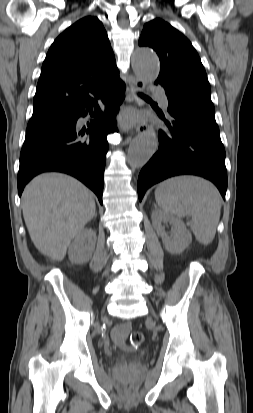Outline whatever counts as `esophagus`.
<instances>
[{
  "mask_svg": "<svg viewBox=\"0 0 253 413\" xmlns=\"http://www.w3.org/2000/svg\"><path fill=\"white\" fill-rule=\"evenodd\" d=\"M144 89H145L144 81H142L141 79L135 78L133 86L131 88V97H132V100L135 101L138 107L142 106V100L140 99L138 93H142ZM148 129H149V124L147 123L142 122V123H138L135 125V130L138 133L147 131Z\"/></svg>",
  "mask_w": 253,
  "mask_h": 413,
  "instance_id": "1",
  "label": "esophagus"
}]
</instances>
